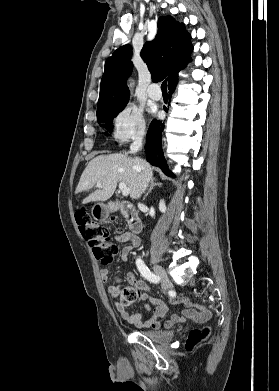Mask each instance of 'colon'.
<instances>
[{"instance_id": "5ec220e1", "label": "colon", "mask_w": 279, "mask_h": 391, "mask_svg": "<svg viewBox=\"0 0 279 391\" xmlns=\"http://www.w3.org/2000/svg\"><path fill=\"white\" fill-rule=\"evenodd\" d=\"M76 222L82 237L89 243L95 257L103 264L111 263L118 253V246L110 239L109 227L106 224L95 222L86 210L76 213ZM121 299L125 305L132 304L137 299V291L131 286L122 287ZM210 334L211 329L208 326L192 329L186 340L187 350L196 348L208 339Z\"/></svg>"}]
</instances>
